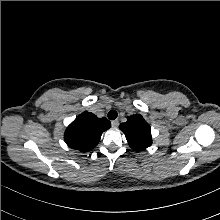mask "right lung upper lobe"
<instances>
[{
  "mask_svg": "<svg viewBox=\"0 0 220 220\" xmlns=\"http://www.w3.org/2000/svg\"><path fill=\"white\" fill-rule=\"evenodd\" d=\"M110 127L108 119L85 111L67 127L64 139L69 147L86 152L98 144L101 134Z\"/></svg>",
  "mask_w": 220,
  "mask_h": 220,
  "instance_id": "obj_1",
  "label": "right lung upper lobe"
}]
</instances>
